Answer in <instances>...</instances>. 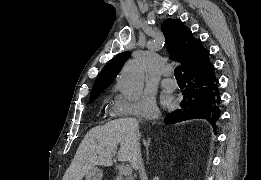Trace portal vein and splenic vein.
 <instances>
[{"mask_svg":"<svg viewBox=\"0 0 261 180\" xmlns=\"http://www.w3.org/2000/svg\"><path fill=\"white\" fill-rule=\"evenodd\" d=\"M122 174H124V176H132V168H122Z\"/></svg>","mask_w":261,"mask_h":180,"instance_id":"obj_1","label":"portal vein and splenic vein"}]
</instances>
